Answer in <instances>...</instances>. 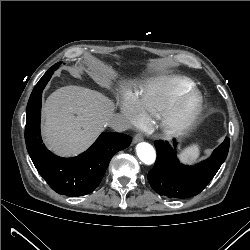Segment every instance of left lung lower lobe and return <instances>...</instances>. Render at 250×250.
<instances>
[{
	"label": "left lung lower lobe",
	"instance_id": "0a47b994",
	"mask_svg": "<svg viewBox=\"0 0 250 250\" xmlns=\"http://www.w3.org/2000/svg\"><path fill=\"white\" fill-rule=\"evenodd\" d=\"M230 141L225 138L212 155L194 166L180 164L176 149L166 142L156 141L157 159L154 168L148 173V181L160 195L168 198H188L200 193L212 180L225 161ZM177 143L174 142V147Z\"/></svg>",
	"mask_w": 250,
	"mask_h": 250
}]
</instances>
